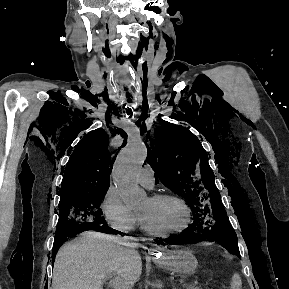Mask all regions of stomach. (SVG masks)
Returning <instances> with one entry per match:
<instances>
[{"label": "stomach", "instance_id": "obj_1", "mask_svg": "<svg viewBox=\"0 0 289 289\" xmlns=\"http://www.w3.org/2000/svg\"><path fill=\"white\" fill-rule=\"evenodd\" d=\"M164 258L166 266L174 273L180 275H192L198 266L196 257L188 249L167 252Z\"/></svg>", "mask_w": 289, "mask_h": 289}]
</instances>
